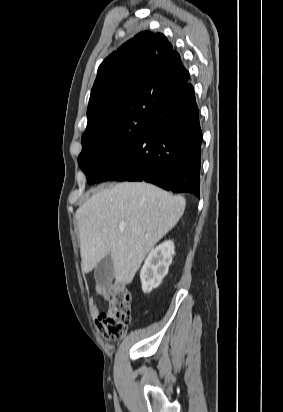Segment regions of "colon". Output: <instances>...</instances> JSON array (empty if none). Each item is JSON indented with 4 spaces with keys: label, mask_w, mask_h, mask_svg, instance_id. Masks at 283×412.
I'll return each instance as SVG.
<instances>
[{
    "label": "colon",
    "mask_w": 283,
    "mask_h": 412,
    "mask_svg": "<svg viewBox=\"0 0 283 412\" xmlns=\"http://www.w3.org/2000/svg\"><path fill=\"white\" fill-rule=\"evenodd\" d=\"M108 309L96 320V329L108 341L120 339L130 322L129 296L123 286L112 283L107 287Z\"/></svg>",
    "instance_id": "colon-1"
}]
</instances>
